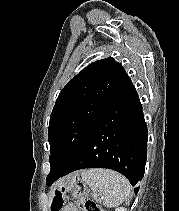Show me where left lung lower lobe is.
Instances as JSON below:
<instances>
[{
	"instance_id": "1",
	"label": "left lung lower lobe",
	"mask_w": 179,
	"mask_h": 211,
	"mask_svg": "<svg viewBox=\"0 0 179 211\" xmlns=\"http://www.w3.org/2000/svg\"><path fill=\"white\" fill-rule=\"evenodd\" d=\"M147 157V126L137 91L129 78L101 114L81 152L59 177L84 168H109L123 174L132 186L144 176ZM135 193L139 187L134 189Z\"/></svg>"
}]
</instances>
